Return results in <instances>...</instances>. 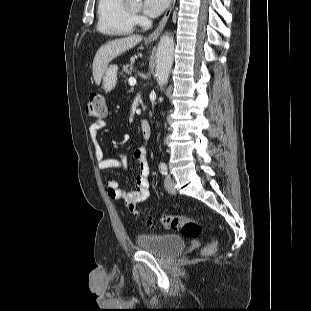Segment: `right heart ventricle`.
I'll use <instances>...</instances> for the list:
<instances>
[{
    "label": "right heart ventricle",
    "instance_id": "1",
    "mask_svg": "<svg viewBox=\"0 0 311 311\" xmlns=\"http://www.w3.org/2000/svg\"><path fill=\"white\" fill-rule=\"evenodd\" d=\"M97 29L110 36H126L134 31L135 21L129 15L125 0H98Z\"/></svg>",
    "mask_w": 311,
    "mask_h": 311
}]
</instances>
